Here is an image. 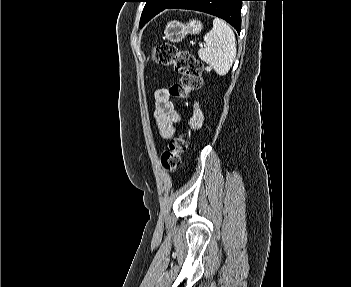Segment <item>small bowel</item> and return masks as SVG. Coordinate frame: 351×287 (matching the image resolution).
Instances as JSON below:
<instances>
[{"label":"small bowel","mask_w":351,"mask_h":287,"mask_svg":"<svg viewBox=\"0 0 351 287\" xmlns=\"http://www.w3.org/2000/svg\"><path fill=\"white\" fill-rule=\"evenodd\" d=\"M156 110L154 112V121L157 129L164 139H170L175 132V123L180 120V115L171 105L168 97V91L165 88L158 89L155 94ZM203 113L196 106L190 118V124L197 128L202 124Z\"/></svg>","instance_id":"small-bowel-1"}]
</instances>
